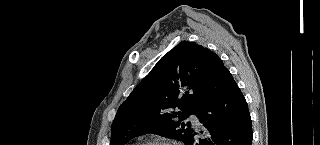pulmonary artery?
I'll list each match as a JSON object with an SVG mask.
<instances>
[{
    "label": "pulmonary artery",
    "instance_id": "e3ab8cb5",
    "mask_svg": "<svg viewBox=\"0 0 320 145\" xmlns=\"http://www.w3.org/2000/svg\"><path fill=\"white\" fill-rule=\"evenodd\" d=\"M189 120L192 122V124L196 127L199 128L201 123L199 121V119L197 118L196 115L192 114L189 116Z\"/></svg>",
    "mask_w": 320,
    "mask_h": 145
}]
</instances>
